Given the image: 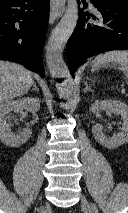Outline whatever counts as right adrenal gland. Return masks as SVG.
Segmentation results:
<instances>
[{
  "label": "right adrenal gland",
  "instance_id": "2a0ac1e0",
  "mask_svg": "<svg viewBox=\"0 0 128 213\" xmlns=\"http://www.w3.org/2000/svg\"><path fill=\"white\" fill-rule=\"evenodd\" d=\"M34 90H36V91H38V92H39L38 87H37V86H36V84L33 82V88H32V90H31V91H34Z\"/></svg>",
  "mask_w": 128,
  "mask_h": 213
}]
</instances>
